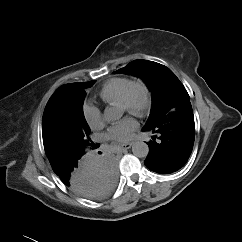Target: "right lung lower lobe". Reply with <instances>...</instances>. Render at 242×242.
<instances>
[{"mask_svg":"<svg viewBox=\"0 0 242 242\" xmlns=\"http://www.w3.org/2000/svg\"><path fill=\"white\" fill-rule=\"evenodd\" d=\"M52 168L66 186L89 199L106 198L117 183L116 163L112 156H83Z\"/></svg>","mask_w":242,"mask_h":242,"instance_id":"right-lung-lower-lobe-1","label":"right lung lower lobe"}]
</instances>
